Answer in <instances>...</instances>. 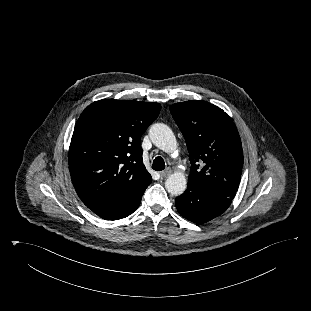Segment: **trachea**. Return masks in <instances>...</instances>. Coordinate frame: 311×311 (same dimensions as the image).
I'll list each match as a JSON object with an SVG mask.
<instances>
[{"instance_id": "1", "label": "trachea", "mask_w": 311, "mask_h": 311, "mask_svg": "<svg viewBox=\"0 0 311 311\" xmlns=\"http://www.w3.org/2000/svg\"><path fill=\"white\" fill-rule=\"evenodd\" d=\"M152 168L155 171H162L165 169V162L163 160L162 157L158 156L154 159L153 164H152Z\"/></svg>"}]
</instances>
